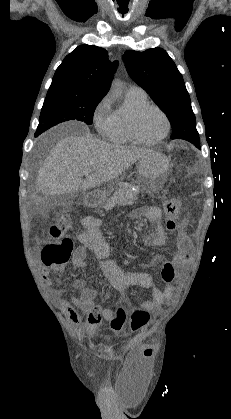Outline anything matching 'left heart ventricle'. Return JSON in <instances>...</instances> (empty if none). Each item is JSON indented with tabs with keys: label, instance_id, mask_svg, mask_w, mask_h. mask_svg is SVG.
I'll return each instance as SVG.
<instances>
[{
	"label": "left heart ventricle",
	"instance_id": "b2bd125f",
	"mask_svg": "<svg viewBox=\"0 0 231 419\" xmlns=\"http://www.w3.org/2000/svg\"><path fill=\"white\" fill-rule=\"evenodd\" d=\"M166 129L163 116L155 109H148L139 119V130L146 139L160 137Z\"/></svg>",
	"mask_w": 231,
	"mask_h": 419
}]
</instances>
